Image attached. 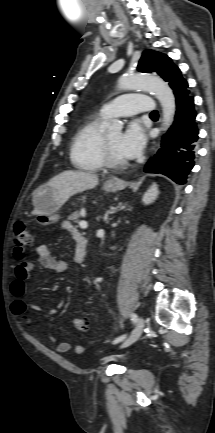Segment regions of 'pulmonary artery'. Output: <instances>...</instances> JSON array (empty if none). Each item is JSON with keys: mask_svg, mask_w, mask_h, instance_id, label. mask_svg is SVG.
Segmentation results:
<instances>
[{"mask_svg": "<svg viewBox=\"0 0 215 433\" xmlns=\"http://www.w3.org/2000/svg\"><path fill=\"white\" fill-rule=\"evenodd\" d=\"M157 110L153 98L141 93L122 95L101 108V113L107 117L132 116L139 113H152Z\"/></svg>", "mask_w": 215, "mask_h": 433, "instance_id": "obj_1", "label": "pulmonary artery"}]
</instances>
